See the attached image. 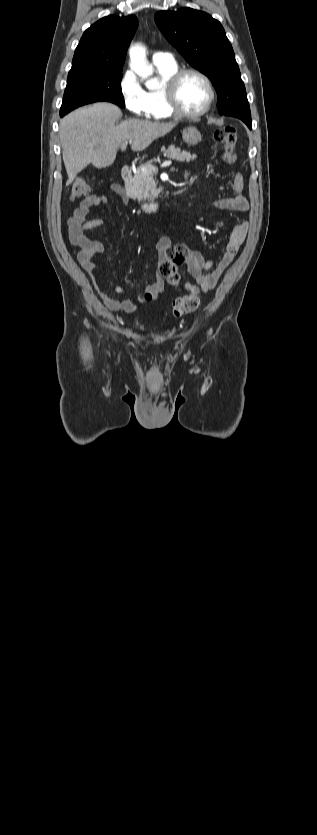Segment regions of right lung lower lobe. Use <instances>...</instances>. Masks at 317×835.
Segmentation results:
<instances>
[{"label": "right lung lower lobe", "mask_w": 317, "mask_h": 835, "mask_svg": "<svg viewBox=\"0 0 317 835\" xmlns=\"http://www.w3.org/2000/svg\"><path fill=\"white\" fill-rule=\"evenodd\" d=\"M65 114H67V113H60V116L63 117Z\"/></svg>", "instance_id": "right-lung-lower-lobe-1"}]
</instances>
